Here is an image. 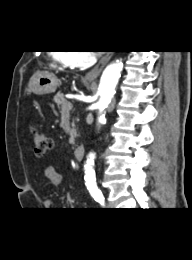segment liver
<instances>
[{
    "label": "liver",
    "mask_w": 192,
    "mask_h": 260,
    "mask_svg": "<svg viewBox=\"0 0 192 260\" xmlns=\"http://www.w3.org/2000/svg\"><path fill=\"white\" fill-rule=\"evenodd\" d=\"M40 73H46V74H48V72H40Z\"/></svg>",
    "instance_id": "obj_1"
}]
</instances>
